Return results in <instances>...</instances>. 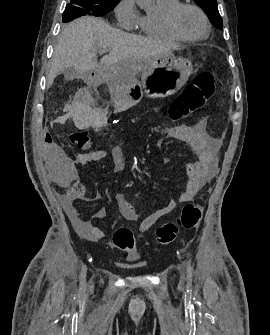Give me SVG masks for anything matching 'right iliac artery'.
Masks as SVG:
<instances>
[{
  "label": "right iliac artery",
  "mask_w": 270,
  "mask_h": 335,
  "mask_svg": "<svg viewBox=\"0 0 270 335\" xmlns=\"http://www.w3.org/2000/svg\"><path fill=\"white\" fill-rule=\"evenodd\" d=\"M86 289V282H85V272L83 270V273H82V281H81V287H80V291L81 293H83Z\"/></svg>",
  "instance_id": "obj_1"
}]
</instances>
